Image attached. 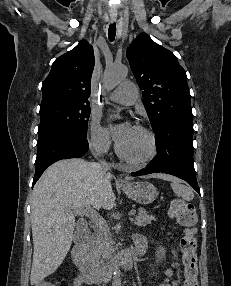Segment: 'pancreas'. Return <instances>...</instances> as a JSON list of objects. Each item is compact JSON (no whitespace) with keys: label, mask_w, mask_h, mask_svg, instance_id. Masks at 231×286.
Listing matches in <instances>:
<instances>
[{"label":"pancreas","mask_w":231,"mask_h":286,"mask_svg":"<svg viewBox=\"0 0 231 286\" xmlns=\"http://www.w3.org/2000/svg\"><path fill=\"white\" fill-rule=\"evenodd\" d=\"M153 220H156L154 216L149 215L145 209H141L133 219V223L137 226H145ZM112 246L113 240L110 228L108 226L98 228L91 239L89 262L96 267L103 266L112 253Z\"/></svg>","instance_id":"pancreas-1"}]
</instances>
